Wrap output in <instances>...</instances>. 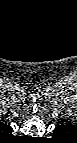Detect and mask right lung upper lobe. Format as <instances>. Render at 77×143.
I'll return each mask as SVG.
<instances>
[{
	"label": "right lung upper lobe",
	"mask_w": 77,
	"mask_h": 143,
	"mask_svg": "<svg viewBox=\"0 0 77 143\" xmlns=\"http://www.w3.org/2000/svg\"><path fill=\"white\" fill-rule=\"evenodd\" d=\"M2 129L6 132H11L12 131V128L9 126V125H6V124H2Z\"/></svg>",
	"instance_id": "obj_1"
}]
</instances>
